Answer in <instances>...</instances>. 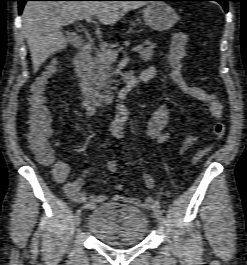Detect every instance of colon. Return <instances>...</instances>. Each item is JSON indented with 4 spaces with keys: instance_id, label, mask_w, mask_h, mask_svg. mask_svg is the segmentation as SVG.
Segmentation results:
<instances>
[{
    "instance_id": "obj_1",
    "label": "colon",
    "mask_w": 247,
    "mask_h": 265,
    "mask_svg": "<svg viewBox=\"0 0 247 265\" xmlns=\"http://www.w3.org/2000/svg\"><path fill=\"white\" fill-rule=\"evenodd\" d=\"M188 36L179 32L174 34L169 53L167 56V65L170 75L176 85L183 91L191 94L204 104L211 102L210 93L200 87L189 84L183 77L182 62L186 54ZM55 72V65L48 66L46 71L32 84L30 95L28 97V133L27 140L36 155L39 162L51 164L55 158L56 144L52 141V131L47 108L45 106V93L50 77ZM225 126L220 120L214 122L212 126V137L214 140L220 139L224 134ZM211 147L207 146L199 149L193 157V162L202 160ZM108 169L115 173L118 170L116 161L111 160L107 163ZM66 166L62 163H56L55 173L57 176L66 174Z\"/></svg>"
}]
</instances>
